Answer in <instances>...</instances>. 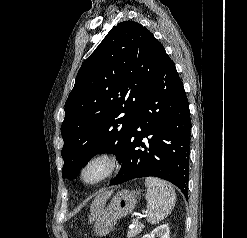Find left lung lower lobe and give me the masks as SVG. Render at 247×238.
<instances>
[{
    "mask_svg": "<svg viewBox=\"0 0 247 238\" xmlns=\"http://www.w3.org/2000/svg\"><path fill=\"white\" fill-rule=\"evenodd\" d=\"M190 130L186 93L175 64L168 56L138 111L121 158V169L110 185L154 176L186 193Z\"/></svg>",
    "mask_w": 247,
    "mask_h": 238,
    "instance_id": "0a47b994",
    "label": "left lung lower lobe"
}]
</instances>
